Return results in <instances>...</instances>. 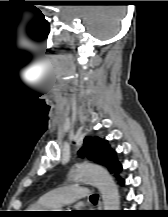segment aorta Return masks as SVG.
I'll return each mask as SVG.
<instances>
[{"instance_id":"1","label":"aorta","mask_w":168,"mask_h":217,"mask_svg":"<svg viewBox=\"0 0 168 217\" xmlns=\"http://www.w3.org/2000/svg\"><path fill=\"white\" fill-rule=\"evenodd\" d=\"M73 180L87 181L101 193L104 210H119L120 195L113 178L104 168L94 164H80L73 169Z\"/></svg>"}]
</instances>
